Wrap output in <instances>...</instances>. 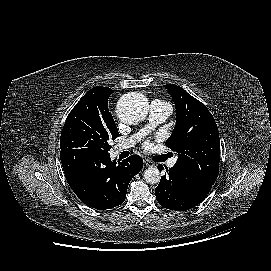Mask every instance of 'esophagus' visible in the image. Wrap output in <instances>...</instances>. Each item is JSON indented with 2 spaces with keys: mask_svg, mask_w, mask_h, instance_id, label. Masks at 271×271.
<instances>
[{
  "mask_svg": "<svg viewBox=\"0 0 271 271\" xmlns=\"http://www.w3.org/2000/svg\"><path fill=\"white\" fill-rule=\"evenodd\" d=\"M144 164L147 166V167H152L154 166V163L148 159H144Z\"/></svg>",
  "mask_w": 271,
  "mask_h": 271,
  "instance_id": "esophagus-1",
  "label": "esophagus"
}]
</instances>
